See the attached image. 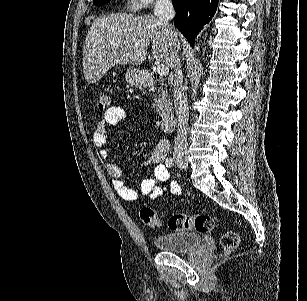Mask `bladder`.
Returning a JSON list of instances; mask_svg holds the SVG:
<instances>
[{
	"label": "bladder",
	"mask_w": 307,
	"mask_h": 301,
	"mask_svg": "<svg viewBox=\"0 0 307 301\" xmlns=\"http://www.w3.org/2000/svg\"><path fill=\"white\" fill-rule=\"evenodd\" d=\"M203 241L198 233L180 231L170 232L165 236L154 235V244L159 251H190L192 247L199 246Z\"/></svg>",
	"instance_id": "bladder-1"
}]
</instances>
